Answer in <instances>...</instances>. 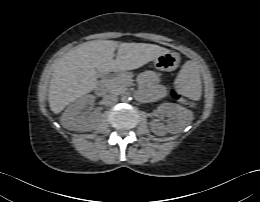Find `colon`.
I'll return each instance as SVG.
<instances>
[{
	"label": "colon",
	"instance_id": "obj_1",
	"mask_svg": "<svg viewBox=\"0 0 260 202\" xmlns=\"http://www.w3.org/2000/svg\"><path fill=\"white\" fill-rule=\"evenodd\" d=\"M172 95L183 102H187L190 105H194V102L185 100L176 90L172 91Z\"/></svg>",
	"mask_w": 260,
	"mask_h": 202
}]
</instances>
